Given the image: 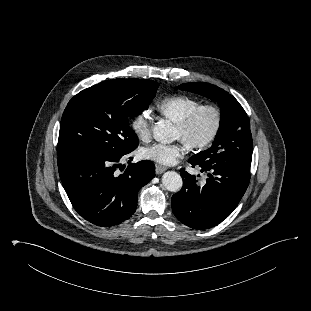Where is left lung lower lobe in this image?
<instances>
[{
    "label": "left lung lower lobe",
    "instance_id": "1",
    "mask_svg": "<svg viewBox=\"0 0 311 311\" xmlns=\"http://www.w3.org/2000/svg\"><path fill=\"white\" fill-rule=\"evenodd\" d=\"M208 175L199 185L195 175L181 169L182 189L173 195L174 215L194 229H208L221 223L236 208L250 181V166L240 162L198 163L189 160Z\"/></svg>",
    "mask_w": 311,
    "mask_h": 311
}]
</instances>
